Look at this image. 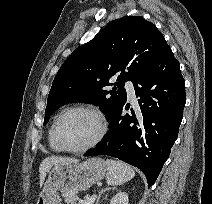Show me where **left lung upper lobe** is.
I'll list each match as a JSON object with an SVG mask.
<instances>
[{
  "label": "left lung upper lobe",
  "instance_id": "left-lung-upper-lobe-1",
  "mask_svg": "<svg viewBox=\"0 0 212 204\" xmlns=\"http://www.w3.org/2000/svg\"><path fill=\"white\" fill-rule=\"evenodd\" d=\"M164 36L143 17L113 20L63 63L49 92L44 125L71 102L98 105L109 117L126 102L125 81L133 83L167 49ZM116 79L114 87L109 80Z\"/></svg>",
  "mask_w": 212,
  "mask_h": 204
}]
</instances>
